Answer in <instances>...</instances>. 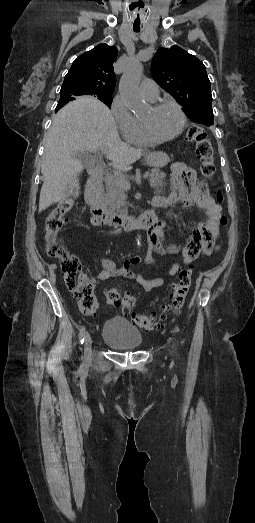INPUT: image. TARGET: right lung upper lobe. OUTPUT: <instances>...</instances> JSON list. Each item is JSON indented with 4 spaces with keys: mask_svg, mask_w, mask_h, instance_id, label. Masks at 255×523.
I'll return each mask as SVG.
<instances>
[{
    "mask_svg": "<svg viewBox=\"0 0 255 523\" xmlns=\"http://www.w3.org/2000/svg\"><path fill=\"white\" fill-rule=\"evenodd\" d=\"M117 48L101 44L80 55L65 76L60 92L73 96H111L116 85L113 62ZM69 101L60 100L55 112Z\"/></svg>",
    "mask_w": 255,
    "mask_h": 523,
    "instance_id": "right-lung-upper-lobe-1",
    "label": "right lung upper lobe"
}]
</instances>
